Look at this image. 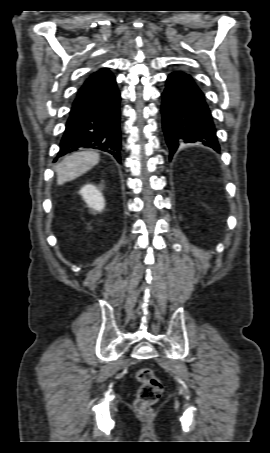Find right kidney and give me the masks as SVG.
<instances>
[{
  "mask_svg": "<svg viewBox=\"0 0 270 453\" xmlns=\"http://www.w3.org/2000/svg\"><path fill=\"white\" fill-rule=\"evenodd\" d=\"M88 207L101 212L104 209L105 201L102 193L92 184H86L79 191Z\"/></svg>",
  "mask_w": 270,
  "mask_h": 453,
  "instance_id": "1",
  "label": "right kidney"
}]
</instances>
